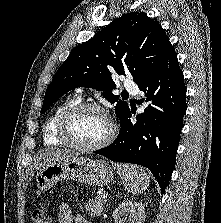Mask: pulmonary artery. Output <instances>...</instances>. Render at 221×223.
Here are the masks:
<instances>
[{"mask_svg":"<svg viewBox=\"0 0 221 223\" xmlns=\"http://www.w3.org/2000/svg\"><path fill=\"white\" fill-rule=\"evenodd\" d=\"M123 85L126 89L130 90L134 95L139 93V90L136 87V84L133 80L125 79L124 82H123ZM78 92L81 93L82 91L79 89Z\"/></svg>","mask_w":221,"mask_h":223,"instance_id":"pulmonary-artery-1","label":"pulmonary artery"}]
</instances>
